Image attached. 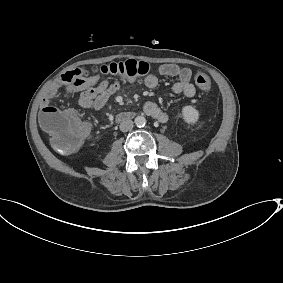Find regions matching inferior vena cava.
Returning <instances> with one entry per match:
<instances>
[{
  "label": "inferior vena cava",
  "mask_w": 283,
  "mask_h": 283,
  "mask_svg": "<svg viewBox=\"0 0 283 283\" xmlns=\"http://www.w3.org/2000/svg\"><path fill=\"white\" fill-rule=\"evenodd\" d=\"M132 127H133V121L131 120H125L120 124V130L122 132H127Z\"/></svg>",
  "instance_id": "602c4592"
}]
</instances>
